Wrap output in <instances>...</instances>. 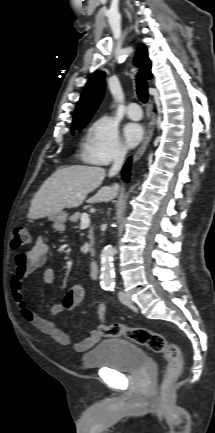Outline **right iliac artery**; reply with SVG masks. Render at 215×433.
Returning <instances> with one entry per match:
<instances>
[{
    "mask_svg": "<svg viewBox=\"0 0 215 433\" xmlns=\"http://www.w3.org/2000/svg\"><path fill=\"white\" fill-rule=\"evenodd\" d=\"M103 289L109 291L112 289V286H104Z\"/></svg>",
    "mask_w": 215,
    "mask_h": 433,
    "instance_id": "1",
    "label": "right iliac artery"
}]
</instances>
